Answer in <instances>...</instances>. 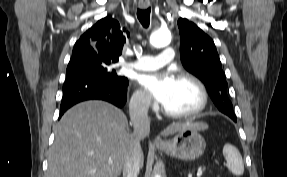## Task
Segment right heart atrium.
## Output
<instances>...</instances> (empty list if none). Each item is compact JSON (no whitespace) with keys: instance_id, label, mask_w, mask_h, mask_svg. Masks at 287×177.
<instances>
[{"instance_id":"obj_1","label":"right heart atrium","mask_w":287,"mask_h":177,"mask_svg":"<svg viewBox=\"0 0 287 177\" xmlns=\"http://www.w3.org/2000/svg\"><path fill=\"white\" fill-rule=\"evenodd\" d=\"M130 106L134 114H147L153 109L150 97L141 89H136L133 92Z\"/></svg>"}]
</instances>
